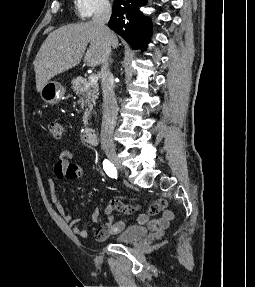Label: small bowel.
<instances>
[{
	"instance_id": "obj_1",
	"label": "small bowel",
	"mask_w": 255,
	"mask_h": 287,
	"mask_svg": "<svg viewBox=\"0 0 255 287\" xmlns=\"http://www.w3.org/2000/svg\"><path fill=\"white\" fill-rule=\"evenodd\" d=\"M82 175V169L71 162V154L68 151H63L59 155V159L54 167V176L59 180H75ZM48 188L51 199L56 206L57 211L62 218L69 224L73 233L82 238L89 236L90 232L80 226L81 218L72 215L65 209L57 196L56 185L54 179L50 178L48 181ZM168 202L165 199H158L154 201L148 213H141L137 217L139 224H147L148 228L157 235H161L169 227L170 222L174 219L172 211L167 209ZM116 209H121L125 213H131L133 207L125 204L123 201L114 199L111 200L104 211L106 223L94 230V235L98 240H106L108 237L118 234L124 227L125 223L122 221H114L113 213ZM162 212V216L157 219H151V215ZM100 217V210L95 208L91 214V221L96 222Z\"/></svg>"
}]
</instances>
